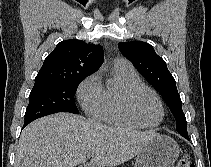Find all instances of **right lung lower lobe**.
I'll return each instance as SVG.
<instances>
[{
    "label": "right lung lower lobe",
    "mask_w": 211,
    "mask_h": 167,
    "mask_svg": "<svg viewBox=\"0 0 211 167\" xmlns=\"http://www.w3.org/2000/svg\"><path fill=\"white\" fill-rule=\"evenodd\" d=\"M29 123H24V126H23V128L26 126V125H28Z\"/></svg>",
    "instance_id": "1"
}]
</instances>
